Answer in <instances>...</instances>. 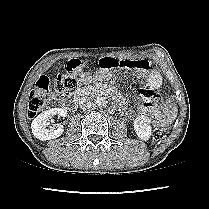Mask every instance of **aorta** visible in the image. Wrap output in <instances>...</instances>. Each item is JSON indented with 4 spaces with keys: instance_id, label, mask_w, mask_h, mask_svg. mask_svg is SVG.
I'll list each match as a JSON object with an SVG mask.
<instances>
[{
    "instance_id": "obj_1",
    "label": "aorta",
    "mask_w": 209,
    "mask_h": 209,
    "mask_svg": "<svg viewBox=\"0 0 209 209\" xmlns=\"http://www.w3.org/2000/svg\"><path fill=\"white\" fill-rule=\"evenodd\" d=\"M107 103L108 101L105 97L98 96L95 99V104L100 108L106 107Z\"/></svg>"
}]
</instances>
